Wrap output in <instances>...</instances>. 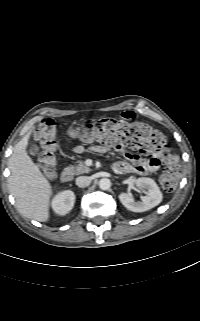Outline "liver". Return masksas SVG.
Returning <instances> with one entry per match:
<instances>
[{
  "instance_id": "obj_1",
  "label": "liver",
  "mask_w": 200,
  "mask_h": 321,
  "mask_svg": "<svg viewBox=\"0 0 200 321\" xmlns=\"http://www.w3.org/2000/svg\"><path fill=\"white\" fill-rule=\"evenodd\" d=\"M32 131L14 147L9 158L8 187L15 198L18 211L29 219L46 222L49 219V201L52 187L29 157L26 148Z\"/></svg>"
}]
</instances>
